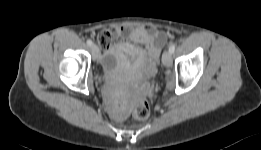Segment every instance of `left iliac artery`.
Listing matches in <instances>:
<instances>
[{"instance_id":"1","label":"left iliac artery","mask_w":261,"mask_h":150,"mask_svg":"<svg viewBox=\"0 0 261 150\" xmlns=\"http://www.w3.org/2000/svg\"><path fill=\"white\" fill-rule=\"evenodd\" d=\"M174 51H175V45L172 44V45L169 47V52L172 54V53H174Z\"/></svg>"}]
</instances>
